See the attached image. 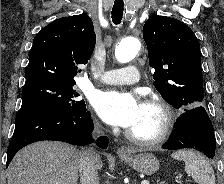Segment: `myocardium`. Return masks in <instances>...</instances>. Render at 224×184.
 <instances>
[{"instance_id":"myocardium-1","label":"myocardium","mask_w":224,"mask_h":184,"mask_svg":"<svg viewBox=\"0 0 224 184\" xmlns=\"http://www.w3.org/2000/svg\"><path fill=\"white\" fill-rule=\"evenodd\" d=\"M143 105L158 108L162 115L163 120L160 125L159 132L151 138H141L127 130L126 136L132 142L143 146H154L163 143L171 135L176 123V113L173 107L164 99L159 97H147L143 101Z\"/></svg>"}]
</instances>
